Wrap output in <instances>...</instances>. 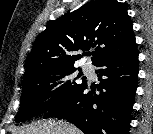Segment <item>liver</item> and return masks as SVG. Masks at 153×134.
<instances>
[{
	"label": "liver",
	"instance_id": "1",
	"mask_svg": "<svg viewBox=\"0 0 153 134\" xmlns=\"http://www.w3.org/2000/svg\"><path fill=\"white\" fill-rule=\"evenodd\" d=\"M14 134H82L76 126L63 121L49 119L38 121L22 129L15 130Z\"/></svg>",
	"mask_w": 153,
	"mask_h": 134
}]
</instances>
